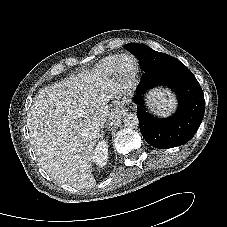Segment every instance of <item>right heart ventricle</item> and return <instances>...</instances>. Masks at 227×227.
<instances>
[{
  "mask_svg": "<svg viewBox=\"0 0 227 227\" xmlns=\"http://www.w3.org/2000/svg\"><path fill=\"white\" fill-rule=\"evenodd\" d=\"M120 56L118 55H113L104 58L97 66V71L110 75L112 74L117 67L118 61H119Z\"/></svg>",
  "mask_w": 227,
  "mask_h": 227,
  "instance_id": "1",
  "label": "right heart ventricle"
}]
</instances>
